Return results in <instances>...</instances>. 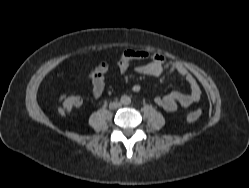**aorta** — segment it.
Masks as SVG:
<instances>
[{
    "instance_id": "aorta-1",
    "label": "aorta",
    "mask_w": 249,
    "mask_h": 188,
    "mask_svg": "<svg viewBox=\"0 0 249 188\" xmlns=\"http://www.w3.org/2000/svg\"><path fill=\"white\" fill-rule=\"evenodd\" d=\"M130 102H131V99H130L129 96L123 95V96L121 97V103H122L123 105H128V104H130Z\"/></svg>"
}]
</instances>
